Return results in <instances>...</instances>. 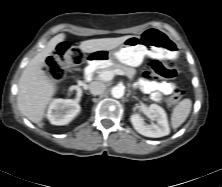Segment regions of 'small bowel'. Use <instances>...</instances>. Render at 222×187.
I'll list each match as a JSON object with an SVG mask.
<instances>
[{
  "label": "small bowel",
  "instance_id": "small-bowel-1",
  "mask_svg": "<svg viewBox=\"0 0 222 187\" xmlns=\"http://www.w3.org/2000/svg\"><path fill=\"white\" fill-rule=\"evenodd\" d=\"M138 85L143 92L150 95L153 101H161L174 88L171 82L161 80L140 79Z\"/></svg>",
  "mask_w": 222,
  "mask_h": 187
}]
</instances>
